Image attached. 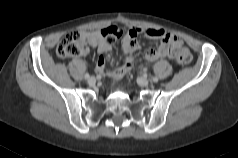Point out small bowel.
I'll return each instance as SVG.
<instances>
[{"instance_id": "1", "label": "small bowel", "mask_w": 238, "mask_h": 158, "mask_svg": "<svg viewBox=\"0 0 238 158\" xmlns=\"http://www.w3.org/2000/svg\"><path fill=\"white\" fill-rule=\"evenodd\" d=\"M144 33L148 38L159 40V46L156 49H148L145 53L147 61H155L165 57H174L173 51L182 48L188 51L181 41L172 33L160 28H148L142 30L138 27H132L128 30L122 41V50L124 53L123 64L115 69H106V56L110 53L111 43L106 42L101 31H82L81 35L85 44L91 48H97L98 60L96 71L100 74H106L111 80L115 81L122 78L130 69L133 63L132 55L139 49L138 36ZM87 53V50L85 54Z\"/></svg>"}]
</instances>
